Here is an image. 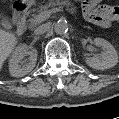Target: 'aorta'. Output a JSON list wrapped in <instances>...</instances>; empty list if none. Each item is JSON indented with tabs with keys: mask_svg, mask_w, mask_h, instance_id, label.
<instances>
[{
	"mask_svg": "<svg viewBox=\"0 0 119 119\" xmlns=\"http://www.w3.org/2000/svg\"><path fill=\"white\" fill-rule=\"evenodd\" d=\"M68 28V23L65 20H59L54 24V31L56 34H65Z\"/></svg>",
	"mask_w": 119,
	"mask_h": 119,
	"instance_id": "obj_1",
	"label": "aorta"
}]
</instances>
